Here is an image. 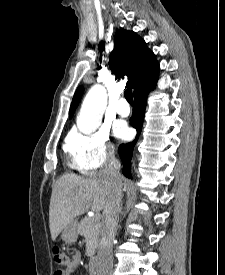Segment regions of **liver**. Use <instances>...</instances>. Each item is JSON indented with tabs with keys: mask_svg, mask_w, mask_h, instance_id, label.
<instances>
[{
	"mask_svg": "<svg viewBox=\"0 0 225 275\" xmlns=\"http://www.w3.org/2000/svg\"><path fill=\"white\" fill-rule=\"evenodd\" d=\"M108 185L102 172H91L87 176L63 175L54 184L49 206V227L52 240L74 218L90 208L104 210L107 201Z\"/></svg>",
	"mask_w": 225,
	"mask_h": 275,
	"instance_id": "obj_1",
	"label": "liver"
}]
</instances>
